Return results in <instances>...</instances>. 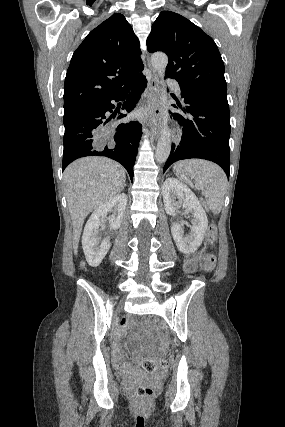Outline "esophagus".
Segmentation results:
<instances>
[{
    "label": "esophagus",
    "instance_id": "1",
    "mask_svg": "<svg viewBox=\"0 0 285 427\" xmlns=\"http://www.w3.org/2000/svg\"><path fill=\"white\" fill-rule=\"evenodd\" d=\"M151 69V75L148 80V88L146 91L147 103H148V122L147 126L150 133L157 137L160 129V113L161 110L157 104V87L158 80L155 71Z\"/></svg>",
    "mask_w": 285,
    "mask_h": 427
}]
</instances>
